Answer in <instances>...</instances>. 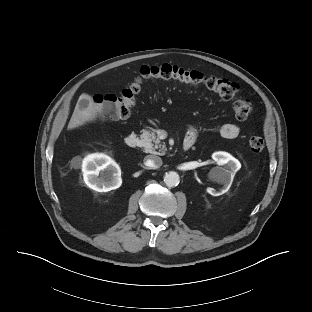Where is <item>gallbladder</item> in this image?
Masks as SVG:
<instances>
[{
	"label": "gallbladder",
	"instance_id": "1",
	"mask_svg": "<svg viewBox=\"0 0 312 312\" xmlns=\"http://www.w3.org/2000/svg\"><path fill=\"white\" fill-rule=\"evenodd\" d=\"M86 103V101L82 100L81 104ZM101 111L105 115H110L113 112V105L108 101H103L101 104Z\"/></svg>",
	"mask_w": 312,
	"mask_h": 312
}]
</instances>
